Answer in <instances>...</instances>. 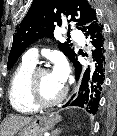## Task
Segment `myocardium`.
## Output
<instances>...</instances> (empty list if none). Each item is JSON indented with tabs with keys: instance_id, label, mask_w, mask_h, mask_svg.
Returning a JSON list of instances; mask_svg holds the SVG:
<instances>
[{
	"instance_id": "f54148a6",
	"label": "myocardium",
	"mask_w": 117,
	"mask_h": 136,
	"mask_svg": "<svg viewBox=\"0 0 117 136\" xmlns=\"http://www.w3.org/2000/svg\"><path fill=\"white\" fill-rule=\"evenodd\" d=\"M46 67H37L31 73L28 81V96L31 103L37 108H49L61 103L67 95V87L64 86L61 94L54 100L43 101L39 95L38 79L41 74L49 72Z\"/></svg>"
}]
</instances>
